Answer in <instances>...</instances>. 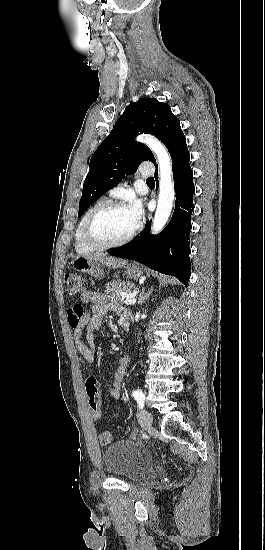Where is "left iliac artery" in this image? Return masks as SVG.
I'll return each instance as SVG.
<instances>
[{"mask_svg": "<svg viewBox=\"0 0 265 550\" xmlns=\"http://www.w3.org/2000/svg\"><path fill=\"white\" fill-rule=\"evenodd\" d=\"M132 396L135 398V400L138 402L140 408H143L144 406V401H145V395L142 391L140 390H134L132 392Z\"/></svg>", "mask_w": 265, "mask_h": 550, "instance_id": "1", "label": "left iliac artery"}]
</instances>
